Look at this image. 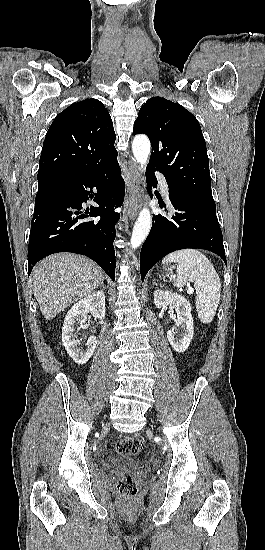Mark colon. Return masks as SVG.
I'll return each mask as SVG.
<instances>
[{
    "label": "colon",
    "mask_w": 265,
    "mask_h": 550,
    "mask_svg": "<svg viewBox=\"0 0 265 550\" xmlns=\"http://www.w3.org/2000/svg\"><path fill=\"white\" fill-rule=\"evenodd\" d=\"M115 449L121 454L136 455L143 449V444L138 438L127 436L116 442ZM116 489L121 496L128 499L137 494L136 482L129 474H122L116 479Z\"/></svg>",
    "instance_id": "1"
}]
</instances>
